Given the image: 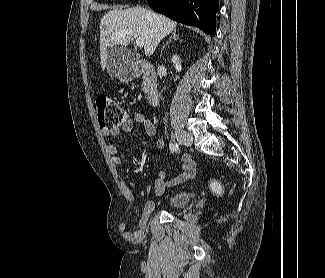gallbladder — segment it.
Masks as SVG:
<instances>
[{
	"label": "gallbladder",
	"mask_w": 325,
	"mask_h": 278,
	"mask_svg": "<svg viewBox=\"0 0 325 278\" xmlns=\"http://www.w3.org/2000/svg\"><path fill=\"white\" fill-rule=\"evenodd\" d=\"M136 59L137 54L127 48L121 46L112 47L107 54V71L110 76L117 77L125 60L133 61Z\"/></svg>",
	"instance_id": "1"
}]
</instances>
